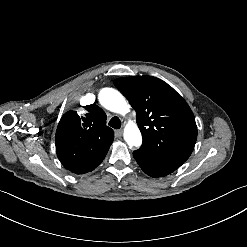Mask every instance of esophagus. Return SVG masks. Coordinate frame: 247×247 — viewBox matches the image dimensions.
I'll list each match as a JSON object with an SVG mask.
<instances>
[{
	"mask_svg": "<svg viewBox=\"0 0 247 247\" xmlns=\"http://www.w3.org/2000/svg\"><path fill=\"white\" fill-rule=\"evenodd\" d=\"M122 136V130H115V137L120 138Z\"/></svg>",
	"mask_w": 247,
	"mask_h": 247,
	"instance_id": "obj_1",
	"label": "esophagus"
}]
</instances>
